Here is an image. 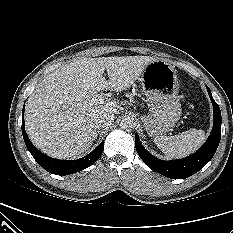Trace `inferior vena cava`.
<instances>
[{"instance_id":"602c4592","label":"inferior vena cava","mask_w":233,"mask_h":233,"mask_svg":"<svg viewBox=\"0 0 233 233\" xmlns=\"http://www.w3.org/2000/svg\"><path fill=\"white\" fill-rule=\"evenodd\" d=\"M114 120V114L101 112L93 117L95 128H105L112 124Z\"/></svg>"}]
</instances>
